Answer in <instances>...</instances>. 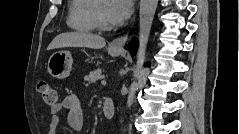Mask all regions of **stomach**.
Segmentation results:
<instances>
[{"mask_svg": "<svg viewBox=\"0 0 239 134\" xmlns=\"http://www.w3.org/2000/svg\"><path fill=\"white\" fill-rule=\"evenodd\" d=\"M122 49L108 48V53L111 56H119ZM73 59L68 51H57L53 53L48 60V72L51 76L57 79H64L69 76L72 68Z\"/></svg>", "mask_w": 239, "mask_h": 134, "instance_id": "0dacf381", "label": "stomach"}]
</instances>
